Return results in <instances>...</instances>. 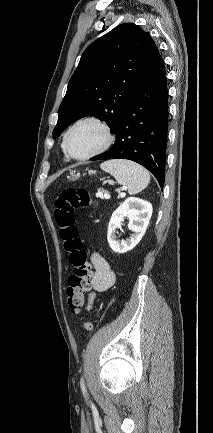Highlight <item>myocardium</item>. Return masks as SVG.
Wrapping results in <instances>:
<instances>
[{"mask_svg":"<svg viewBox=\"0 0 213 433\" xmlns=\"http://www.w3.org/2000/svg\"><path fill=\"white\" fill-rule=\"evenodd\" d=\"M85 123H92V124H95L96 126H98L104 133V141H103L102 145L99 148H97L95 151H93L87 155H84V156H75L71 153L70 148H69V137L75 128H77L78 126L85 124ZM113 141H114V135H113L109 125L98 117L88 116V117H84V118L77 120L67 130V132L64 136L63 145H64L65 153L68 157H70L74 160L82 161V160L90 159L94 156H97V155L103 153L112 145Z\"/></svg>","mask_w":213,"mask_h":433,"instance_id":"1","label":"myocardium"}]
</instances>
